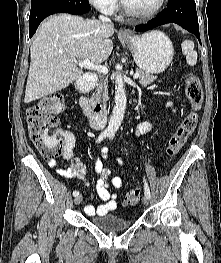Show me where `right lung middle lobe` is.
<instances>
[{"instance_id": "obj_1", "label": "right lung middle lobe", "mask_w": 221, "mask_h": 263, "mask_svg": "<svg viewBox=\"0 0 221 263\" xmlns=\"http://www.w3.org/2000/svg\"><path fill=\"white\" fill-rule=\"evenodd\" d=\"M46 0H31V6Z\"/></svg>"}]
</instances>
